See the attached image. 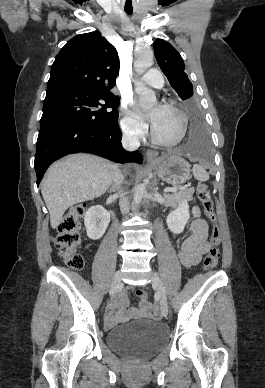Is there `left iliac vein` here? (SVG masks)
<instances>
[{
  "label": "left iliac vein",
  "mask_w": 265,
  "mask_h": 388,
  "mask_svg": "<svg viewBox=\"0 0 265 388\" xmlns=\"http://www.w3.org/2000/svg\"><path fill=\"white\" fill-rule=\"evenodd\" d=\"M151 283H152L153 287L156 289L157 294H158L159 299H160L161 315L163 317H167V315H168L167 293H166L165 287H164L161 279L159 278L158 274L155 272H152Z\"/></svg>",
  "instance_id": "4c4485c4"
}]
</instances>
